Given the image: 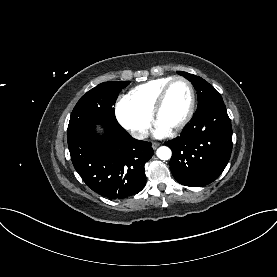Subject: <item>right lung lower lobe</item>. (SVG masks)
Returning a JSON list of instances; mask_svg holds the SVG:
<instances>
[{"label": "right lung lower lobe", "mask_w": 277, "mask_h": 277, "mask_svg": "<svg viewBox=\"0 0 277 277\" xmlns=\"http://www.w3.org/2000/svg\"><path fill=\"white\" fill-rule=\"evenodd\" d=\"M86 129L68 142L75 170L93 191L109 199H122L146 184L144 165L153 156L150 142L131 137L120 125Z\"/></svg>", "instance_id": "obj_1"}]
</instances>
